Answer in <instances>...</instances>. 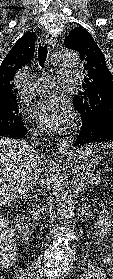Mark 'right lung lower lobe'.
Wrapping results in <instances>:
<instances>
[{
  "label": "right lung lower lobe",
  "mask_w": 113,
  "mask_h": 279,
  "mask_svg": "<svg viewBox=\"0 0 113 279\" xmlns=\"http://www.w3.org/2000/svg\"><path fill=\"white\" fill-rule=\"evenodd\" d=\"M26 134H27V128L25 126L14 127L6 131L0 132L1 136L17 138V139L24 138Z\"/></svg>",
  "instance_id": "right-lung-lower-lobe-1"
}]
</instances>
